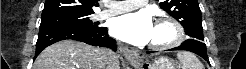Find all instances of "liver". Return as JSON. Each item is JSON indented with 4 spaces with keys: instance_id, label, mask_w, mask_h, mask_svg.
<instances>
[{
    "instance_id": "6515ba94",
    "label": "liver",
    "mask_w": 246,
    "mask_h": 69,
    "mask_svg": "<svg viewBox=\"0 0 246 69\" xmlns=\"http://www.w3.org/2000/svg\"><path fill=\"white\" fill-rule=\"evenodd\" d=\"M109 50L85 43L65 40L44 49L35 60L33 69H108ZM120 69L119 61L113 66Z\"/></svg>"
}]
</instances>
